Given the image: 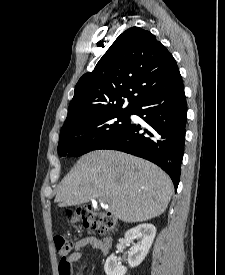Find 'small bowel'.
Here are the masks:
<instances>
[{"label": "small bowel", "mask_w": 225, "mask_h": 275, "mask_svg": "<svg viewBox=\"0 0 225 275\" xmlns=\"http://www.w3.org/2000/svg\"><path fill=\"white\" fill-rule=\"evenodd\" d=\"M87 248H92L104 253L103 242L94 236H86L76 241L74 252L68 257L69 261L76 263L81 260Z\"/></svg>", "instance_id": "1"}]
</instances>
